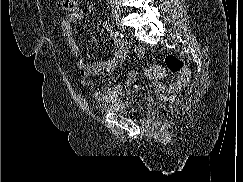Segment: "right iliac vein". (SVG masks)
<instances>
[{
	"label": "right iliac vein",
	"instance_id": "1",
	"mask_svg": "<svg viewBox=\"0 0 243 182\" xmlns=\"http://www.w3.org/2000/svg\"><path fill=\"white\" fill-rule=\"evenodd\" d=\"M118 26H119V29H120L122 32L125 30L124 27H123V25H122L121 23H119Z\"/></svg>",
	"mask_w": 243,
	"mask_h": 182
}]
</instances>
